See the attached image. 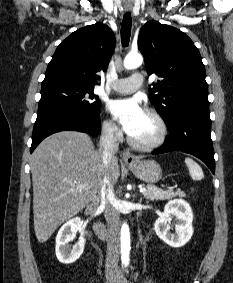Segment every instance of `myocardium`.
I'll list each match as a JSON object with an SVG mask.
<instances>
[{
	"mask_svg": "<svg viewBox=\"0 0 233 283\" xmlns=\"http://www.w3.org/2000/svg\"><path fill=\"white\" fill-rule=\"evenodd\" d=\"M145 113L152 116L158 123L159 134L157 138L151 142H140V141L135 140L130 134H128L127 139H128L129 144L132 147L138 150L151 151V150L159 148L160 146L164 144L167 138V135H168V127H167V123L165 119L163 118V116L155 109L147 108L145 110Z\"/></svg>",
	"mask_w": 233,
	"mask_h": 283,
	"instance_id": "obj_1",
	"label": "myocardium"
}]
</instances>
